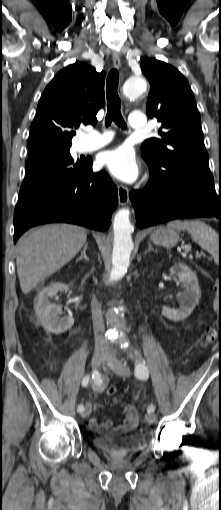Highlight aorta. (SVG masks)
Instances as JSON below:
<instances>
[{
	"label": "aorta",
	"instance_id": "obj_1",
	"mask_svg": "<svg viewBox=\"0 0 221 510\" xmlns=\"http://www.w3.org/2000/svg\"><path fill=\"white\" fill-rule=\"evenodd\" d=\"M147 90V83L143 77H130L123 85V93L127 98H136ZM114 242L112 251V270L109 283L119 281L127 272L130 264V255L133 249L131 233L133 226L130 222L129 208L119 209L113 221ZM112 323L122 328L123 322L120 317L112 312Z\"/></svg>",
	"mask_w": 221,
	"mask_h": 510
}]
</instances>
